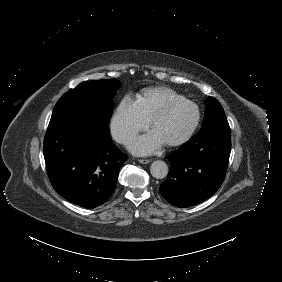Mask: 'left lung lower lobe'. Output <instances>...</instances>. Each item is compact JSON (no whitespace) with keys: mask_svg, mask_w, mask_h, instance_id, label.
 <instances>
[{"mask_svg":"<svg viewBox=\"0 0 282 282\" xmlns=\"http://www.w3.org/2000/svg\"><path fill=\"white\" fill-rule=\"evenodd\" d=\"M231 150L227 121L201 128L189 141L166 157L170 162L161 195L172 205L186 208L212 196L224 181Z\"/></svg>","mask_w":282,"mask_h":282,"instance_id":"left-lung-lower-lobe-1","label":"left lung lower lobe"}]
</instances>
